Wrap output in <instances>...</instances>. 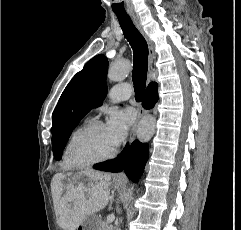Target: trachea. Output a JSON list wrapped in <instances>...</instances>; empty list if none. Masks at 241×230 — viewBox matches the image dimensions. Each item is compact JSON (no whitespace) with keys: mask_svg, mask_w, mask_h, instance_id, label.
Masks as SVG:
<instances>
[{"mask_svg":"<svg viewBox=\"0 0 241 230\" xmlns=\"http://www.w3.org/2000/svg\"><path fill=\"white\" fill-rule=\"evenodd\" d=\"M123 34L133 49L132 80L136 101H141L144 96L147 80L148 45L142 34L136 29L131 18L126 13H115Z\"/></svg>","mask_w":241,"mask_h":230,"instance_id":"obj_1","label":"trachea"}]
</instances>
